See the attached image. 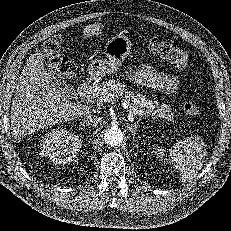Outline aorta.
Returning a JSON list of instances; mask_svg holds the SVG:
<instances>
[{"label":"aorta","instance_id":"obj_1","mask_svg":"<svg viewBox=\"0 0 231 231\" xmlns=\"http://www.w3.org/2000/svg\"><path fill=\"white\" fill-rule=\"evenodd\" d=\"M124 139V134L117 126H112L104 132V142L110 147L119 146Z\"/></svg>","mask_w":231,"mask_h":231}]
</instances>
